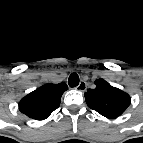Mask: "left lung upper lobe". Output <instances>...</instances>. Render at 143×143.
I'll list each match as a JSON object with an SVG mask.
<instances>
[{"label": "left lung upper lobe", "mask_w": 143, "mask_h": 143, "mask_svg": "<svg viewBox=\"0 0 143 143\" xmlns=\"http://www.w3.org/2000/svg\"><path fill=\"white\" fill-rule=\"evenodd\" d=\"M96 87L84 94L88 107L106 118H117L130 105L131 98L124 91L111 86L103 79L95 81Z\"/></svg>", "instance_id": "obj_1"}]
</instances>
